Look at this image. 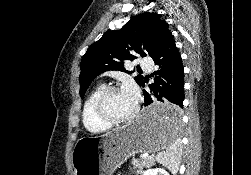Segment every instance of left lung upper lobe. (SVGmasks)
<instances>
[{"mask_svg": "<svg viewBox=\"0 0 251 175\" xmlns=\"http://www.w3.org/2000/svg\"><path fill=\"white\" fill-rule=\"evenodd\" d=\"M168 26L160 14L145 12L132 18L120 30L107 31L88 48L81 60V98L101 73L108 70L132 73L123 67L125 61L135 60L137 55L152 57L157 53L170 33ZM135 80L142 85V76Z\"/></svg>", "mask_w": 251, "mask_h": 175, "instance_id": "1", "label": "left lung upper lobe"}]
</instances>
